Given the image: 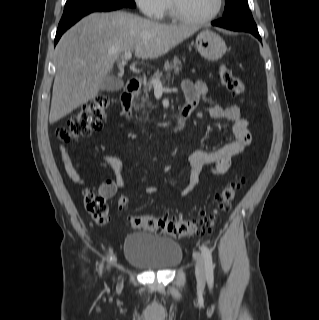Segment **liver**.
<instances>
[{
	"mask_svg": "<svg viewBox=\"0 0 319 320\" xmlns=\"http://www.w3.org/2000/svg\"><path fill=\"white\" fill-rule=\"evenodd\" d=\"M196 31L188 25H167L123 11L84 17L56 46L50 123L96 98L115 61L125 52L134 50L138 58L155 59Z\"/></svg>",
	"mask_w": 319,
	"mask_h": 320,
	"instance_id": "liver-1",
	"label": "liver"
}]
</instances>
